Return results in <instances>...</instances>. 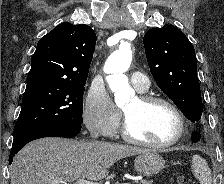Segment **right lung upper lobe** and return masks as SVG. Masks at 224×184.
<instances>
[{"mask_svg": "<svg viewBox=\"0 0 224 184\" xmlns=\"http://www.w3.org/2000/svg\"><path fill=\"white\" fill-rule=\"evenodd\" d=\"M96 34L85 24L62 23L42 37L31 59L27 84L86 83Z\"/></svg>", "mask_w": 224, "mask_h": 184, "instance_id": "1", "label": "right lung upper lobe"}]
</instances>
